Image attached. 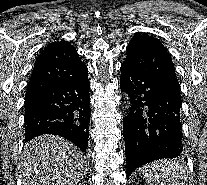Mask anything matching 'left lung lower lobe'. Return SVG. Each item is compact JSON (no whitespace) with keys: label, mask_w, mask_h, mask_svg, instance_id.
Here are the masks:
<instances>
[{"label":"left lung lower lobe","mask_w":207,"mask_h":185,"mask_svg":"<svg viewBox=\"0 0 207 185\" xmlns=\"http://www.w3.org/2000/svg\"><path fill=\"white\" fill-rule=\"evenodd\" d=\"M121 90H126L131 107L123 119L127 178L138 167L183 152L180 122L181 98L166 85L121 66Z\"/></svg>","instance_id":"1"}]
</instances>
